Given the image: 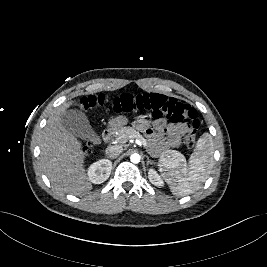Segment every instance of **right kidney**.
Wrapping results in <instances>:
<instances>
[{
    "label": "right kidney",
    "mask_w": 267,
    "mask_h": 267,
    "mask_svg": "<svg viewBox=\"0 0 267 267\" xmlns=\"http://www.w3.org/2000/svg\"><path fill=\"white\" fill-rule=\"evenodd\" d=\"M111 170L112 162L107 159H101L89 166L87 171L88 178L94 184H101L109 178Z\"/></svg>",
    "instance_id": "obj_1"
}]
</instances>
